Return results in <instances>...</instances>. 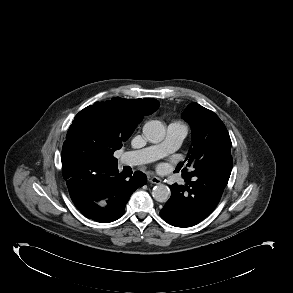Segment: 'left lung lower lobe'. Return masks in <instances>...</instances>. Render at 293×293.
<instances>
[{"label": "left lung lower lobe", "mask_w": 293, "mask_h": 293, "mask_svg": "<svg viewBox=\"0 0 293 293\" xmlns=\"http://www.w3.org/2000/svg\"><path fill=\"white\" fill-rule=\"evenodd\" d=\"M186 185H170L171 197L160 211L167 223L191 227L206 218L217 206L228 180L212 173L184 175Z\"/></svg>", "instance_id": "0a47b994"}]
</instances>
